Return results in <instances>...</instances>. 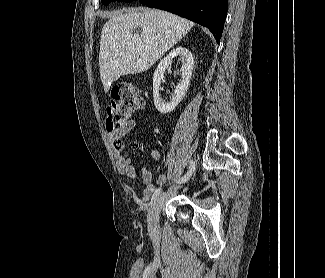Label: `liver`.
I'll list each match as a JSON object with an SVG mask.
<instances>
[{
	"instance_id": "1",
	"label": "liver",
	"mask_w": 325,
	"mask_h": 278,
	"mask_svg": "<svg viewBox=\"0 0 325 278\" xmlns=\"http://www.w3.org/2000/svg\"><path fill=\"white\" fill-rule=\"evenodd\" d=\"M101 32L100 78L107 93L121 76L147 71L194 23L157 9L136 8L108 13ZM141 29L140 33L135 30Z\"/></svg>"
}]
</instances>
